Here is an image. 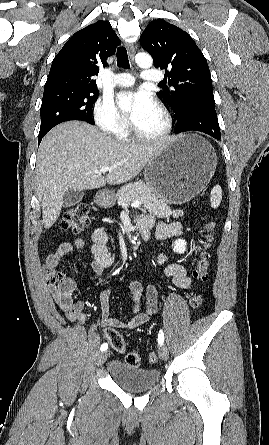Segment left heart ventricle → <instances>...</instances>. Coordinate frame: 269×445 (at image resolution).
Returning <instances> with one entry per match:
<instances>
[{
  "label": "left heart ventricle",
  "instance_id": "obj_1",
  "mask_svg": "<svg viewBox=\"0 0 269 445\" xmlns=\"http://www.w3.org/2000/svg\"><path fill=\"white\" fill-rule=\"evenodd\" d=\"M136 128L146 135H155L164 127V119L157 107L135 123Z\"/></svg>",
  "mask_w": 269,
  "mask_h": 445
}]
</instances>
